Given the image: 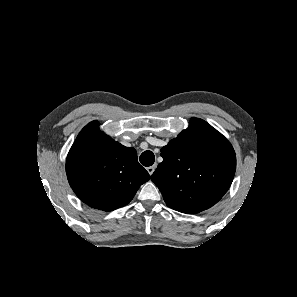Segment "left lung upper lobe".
<instances>
[{
  "mask_svg": "<svg viewBox=\"0 0 297 297\" xmlns=\"http://www.w3.org/2000/svg\"><path fill=\"white\" fill-rule=\"evenodd\" d=\"M163 162L151 176L167 206L186 214L206 210L229 189L236 155L229 141L206 121L189 128L161 149Z\"/></svg>",
  "mask_w": 297,
  "mask_h": 297,
  "instance_id": "5c2ea615",
  "label": "left lung upper lobe"
}]
</instances>
